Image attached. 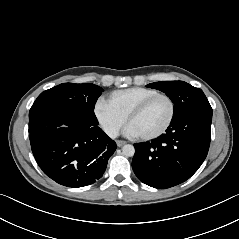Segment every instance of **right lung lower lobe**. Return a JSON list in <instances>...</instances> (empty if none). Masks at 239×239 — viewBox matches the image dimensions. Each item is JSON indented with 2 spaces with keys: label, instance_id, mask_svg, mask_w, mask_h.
I'll return each instance as SVG.
<instances>
[{
  "label": "right lung lower lobe",
  "instance_id": "obj_1",
  "mask_svg": "<svg viewBox=\"0 0 239 239\" xmlns=\"http://www.w3.org/2000/svg\"><path fill=\"white\" fill-rule=\"evenodd\" d=\"M97 125L56 122L31 132L32 152L42 171L73 188L101 178L117 146Z\"/></svg>",
  "mask_w": 239,
  "mask_h": 239
}]
</instances>
